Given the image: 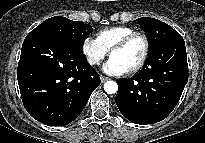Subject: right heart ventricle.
<instances>
[{
  "label": "right heart ventricle",
  "mask_w": 205,
  "mask_h": 143,
  "mask_svg": "<svg viewBox=\"0 0 205 143\" xmlns=\"http://www.w3.org/2000/svg\"><path fill=\"white\" fill-rule=\"evenodd\" d=\"M133 32H135V30L128 26H113L99 31L97 40L105 49L110 51L116 43Z\"/></svg>",
  "instance_id": "right-heart-ventricle-1"
}]
</instances>
